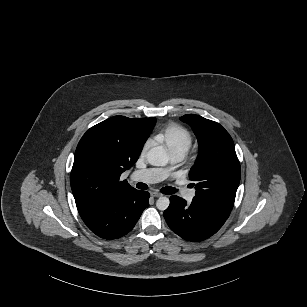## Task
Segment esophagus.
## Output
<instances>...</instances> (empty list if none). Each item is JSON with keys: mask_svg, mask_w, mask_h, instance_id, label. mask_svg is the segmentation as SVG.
Listing matches in <instances>:
<instances>
[{"mask_svg": "<svg viewBox=\"0 0 307 307\" xmlns=\"http://www.w3.org/2000/svg\"><path fill=\"white\" fill-rule=\"evenodd\" d=\"M151 196L154 197V198H159V197L162 196V194L159 193V192L153 191V192H151Z\"/></svg>", "mask_w": 307, "mask_h": 307, "instance_id": "34e87169", "label": "esophagus"}]
</instances>
